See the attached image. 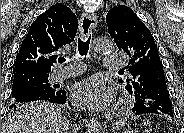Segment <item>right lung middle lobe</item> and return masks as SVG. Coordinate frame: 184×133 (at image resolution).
Segmentation results:
<instances>
[{"mask_svg": "<svg viewBox=\"0 0 184 133\" xmlns=\"http://www.w3.org/2000/svg\"><path fill=\"white\" fill-rule=\"evenodd\" d=\"M48 76L49 75H37L31 73L14 75L11 97L23 92H32L39 95H50L54 93L56 90L50 86ZM22 105L20 103H12L10 109H18Z\"/></svg>", "mask_w": 184, "mask_h": 133, "instance_id": "1", "label": "right lung middle lobe"}]
</instances>
